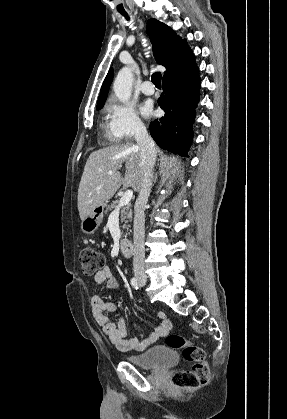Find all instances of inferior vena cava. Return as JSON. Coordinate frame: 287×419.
<instances>
[{
  "label": "inferior vena cava",
  "instance_id": "602c4592",
  "mask_svg": "<svg viewBox=\"0 0 287 419\" xmlns=\"http://www.w3.org/2000/svg\"><path fill=\"white\" fill-rule=\"evenodd\" d=\"M135 139L137 145L141 149L143 180L135 203L133 224V271L136 277H146L144 268L145 207L148 202L153 183V167L156 161V148L153 139L148 135L147 130L143 125H138L136 127Z\"/></svg>",
  "mask_w": 287,
  "mask_h": 419
}]
</instances>
